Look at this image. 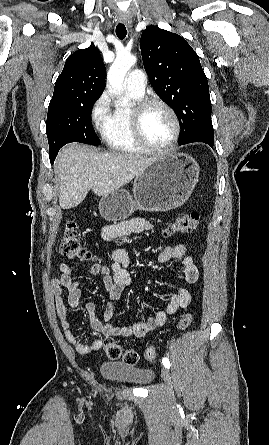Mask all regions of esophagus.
Masks as SVG:
<instances>
[{
    "instance_id": "1",
    "label": "esophagus",
    "mask_w": 269,
    "mask_h": 445,
    "mask_svg": "<svg viewBox=\"0 0 269 445\" xmlns=\"http://www.w3.org/2000/svg\"><path fill=\"white\" fill-rule=\"evenodd\" d=\"M119 21H120L121 23L126 24L128 27H131L132 21H131V19H130L128 16H126V15H120V16H119Z\"/></svg>"
}]
</instances>
